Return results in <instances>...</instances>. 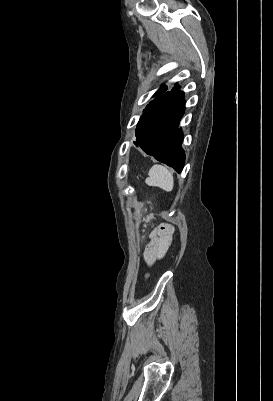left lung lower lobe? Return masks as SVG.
Segmentation results:
<instances>
[{
    "mask_svg": "<svg viewBox=\"0 0 273 401\" xmlns=\"http://www.w3.org/2000/svg\"><path fill=\"white\" fill-rule=\"evenodd\" d=\"M184 109V92L176 86L157 95L146 106L135 130L134 144L178 173L185 161L183 133L178 129Z\"/></svg>",
    "mask_w": 273,
    "mask_h": 401,
    "instance_id": "left-lung-lower-lobe-1",
    "label": "left lung lower lobe"
}]
</instances>
